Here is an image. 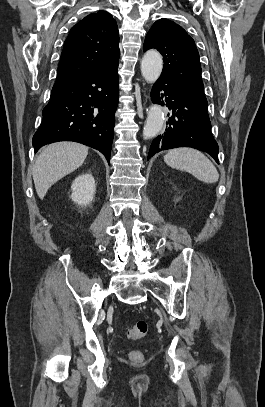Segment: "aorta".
<instances>
[{
    "mask_svg": "<svg viewBox=\"0 0 265 407\" xmlns=\"http://www.w3.org/2000/svg\"><path fill=\"white\" fill-rule=\"evenodd\" d=\"M163 68L162 56L155 50L147 51L141 62V73L144 79L153 84L161 75ZM164 113L160 105L154 104L150 107L147 120L143 128L145 139L155 137L162 129Z\"/></svg>",
    "mask_w": 265,
    "mask_h": 407,
    "instance_id": "762f6f07",
    "label": "aorta"
}]
</instances>
